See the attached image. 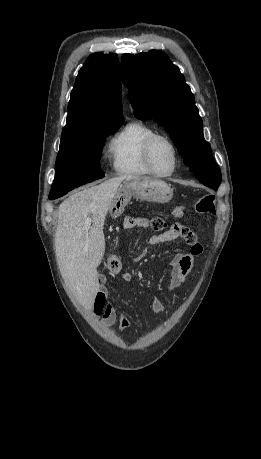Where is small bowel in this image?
<instances>
[{
  "mask_svg": "<svg viewBox=\"0 0 261 459\" xmlns=\"http://www.w3.org/2000/svg\"><path fill=\"white\" fill-rule=\"evenodd\" d=\"M148 226L149 221L141 217H130L124 222L125 229L147 228ZM178 238H183L187 241L191 246V252L189 254H177L170 261L171 272L168 286L170 291L177 289L185 282L193 268L194 257L202 252V246L196 236L182 224H173L165 232L150 236L148 241L151 245H157L172 242ZM121 279L124 282H130L132 280V275L125 272L121 275ZM99 281L102 285L105 284L106 277H100ZM96 302L101 304V312L97 315L101 316L104 325H112L118 320L122 330L129 331L131 329L127 314L125 312H118L107 302L106 290L103 286L100 287L96 294L95 303ZM151 309L156 314H161L165 311L163 303L157 297L152 298Z\"/></svg>",
  "mask_w": 261,
  "mask_h": 459,
  "instance_id": "small-bowel-1",
  "label": "small bowel"
}]
</instances>
